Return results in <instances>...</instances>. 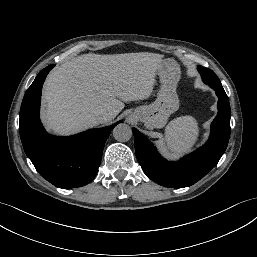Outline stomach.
Returning a JSON list of instances; mask_svg holds the SVG:
<instances>
[{
  "mask_svg": "<svg viewBox=\"0 0 257 257\" xmlns=\"http://www.w3.org/2000/svg\"><path fill=\"white\" fill-rule=\"evenodd\" d=\"M161 88L154 103L137 107L134 117L144 122L146 128H162L166 125L169 116L178 110L179 98L176 92L180 79L178 65L170 59L162 61L157 70Z\"/></svg>",
  "mask_w": 257,
  "mask_h": 257,
  "instance_id": "1",
  "label": "stomach"
}]
</instances>
